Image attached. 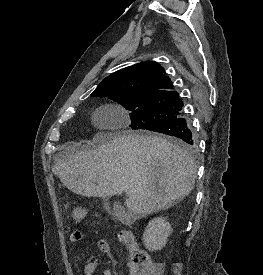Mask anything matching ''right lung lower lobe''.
<instances>
[{
    "instance_id": "obj_1",
    "label": "right lung lower lobe",
    "mask_w": 263,
    "mask_h": 275,
    "mask_svg": "<svg viewBox=\"0 0 263 275\" xmlns=\"http://www.w3.org/2000/svg\"><path fill=\"white\" fill-rule=\"evenodd\" d=\"M152 131L177 137L189 145L194 144L192 132L182 115L165 125L154 128Z\"/></svg>"
}]
</instances>
